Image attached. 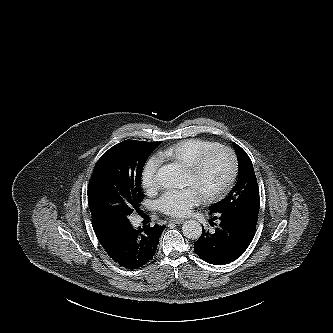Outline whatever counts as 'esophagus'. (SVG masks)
I'll list each match as a JSON object with an SVG mask.
<instances>
[{
    "label": "esophagus",
    "mask_w": 333,
    "mask_h": 333,
    "mask_svg": "<svg viewBox=\"0 0 333 333\" xmlns=\"http://www.w3.org/2000/svg\"><path fill=\"white\" fill-rule=\"evenodd\" d=\"M169 222L175 224H182L184 222V219H170Z\"/></svg>",
    "instance_id": "obj_1"
}]
</instances>
